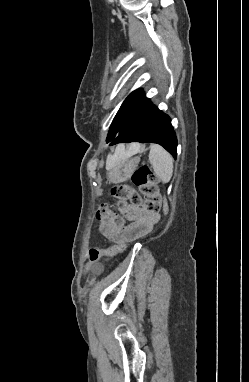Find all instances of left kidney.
<instances>
[{"instance_id": "left-kidney-1", "label": "left kidney", "mask_w": 249, "mask_h": 382, "mask_svg": "<svg viewBox=\"0 0 249 382\" xmlns=\"http://www.w3.org/2000/svg\"><path fill=\"white\" fill-rule=\"evenodd\" d=\"M93 274H94V276L98 277V276H100L101 273H100V271L96 270V271H94Z\"/></svg>"}]
</instances>
